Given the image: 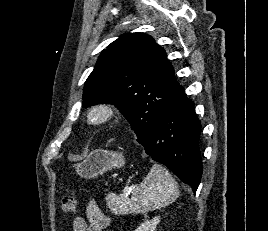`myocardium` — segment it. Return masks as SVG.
Returning a JSON list of instances; mask_svg holds the SVG:
<instances>
[{"label":"myocardium","instance_id":"myocardium-1","mask_svg":"<svg viewBox=\"0 0 268 231\" xmlns=\"http://www.w3.org/2000/svg\"><path fill=\"white\" fill-rule=\"evenodd\" d=\"M116 114V108L109 102H98L90 106L88 110V121L93 126L106 124Z\"/></svg>","mask_w":268,"mask_h":231}]
</instances>
